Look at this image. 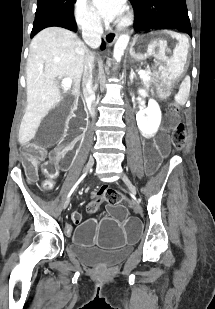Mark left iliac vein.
I'll return each instance as SVG.
<instances>
[{
    "mask_svg": "<svg viewBox=\"0 0 215 309\" xmlns=\"http://www.w3.org/2000/svg\"><path fill=\"white\" fill-rule=\"evenodd\" d=\"M122 180L124 181V183L127 185V187L129 188L130 192L133 194V195H136L137 194V189L136 187L133 185V183L129 180V178L123 174L122 175Z\"/></svg>",
    "mask_w": 215,
    "mask_h": 309,
    "instance_id": "obj_1",
    "label": "left iliac vein"
}]
</instances>
